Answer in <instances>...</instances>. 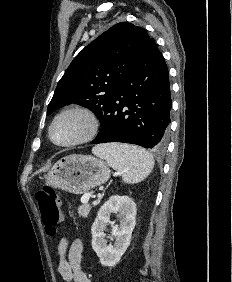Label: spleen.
<instances>
[{"instance_id": "obj_1", "label": "spleen", "mask_w": 232, "mask_h": 282, "mask_svg": "<svg viewBox=\"0 0 232 282\" xmlns=\"http://www.w3.org/2000/svg\"><path fill=\"white\" fill-rule=\"evenodd\" d=\"M93 153L104 158L114 170L121 172L125 183L142 181L154 168L152 154L134 145L105 144L93 148Z\"/></svg>"}]
</instances>
